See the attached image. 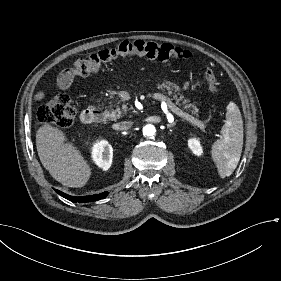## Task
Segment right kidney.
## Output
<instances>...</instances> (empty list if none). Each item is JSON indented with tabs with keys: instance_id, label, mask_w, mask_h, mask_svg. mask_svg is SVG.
I'll list each match as a JSON object with an SVG mask.
<instances>
[{
	"instance_id": "1",
	"label": "right kidney",
	"mask_w": 281,
	"mask_h": 281,
	"mask_svg": "<svg viewBox=\"0 0 281 281\" xmlns=\"http://www.w3.org/2000/svg\"><path fill=\"white\" fill-rule=\"evenodd\" d=\"M91 157L94 163L104 171H107L113 158V148L106 140H97L92 144Z\"/></svg>"
}]
</instances>
